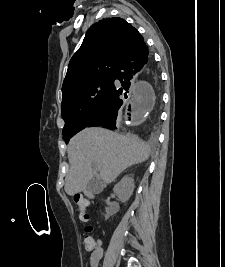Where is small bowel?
Instances as JSON below:
<instances>
[{"instance_id":"small-bowel-1","label":"small bowel","mask_w":225,"mask_h":267,"mask_svg":"<svg viewBox=\"0 0 225 267\" xmlns=\"http://www.w3.org/2000/svg\"><path fill=\"white\" fill-rule=\"evenodd\" d=\"M91 256H90V262L91 264H94L98 259H100L103 255V250L100 247V245H95V248L91 250Z\"/></svg>"}]
</instances>
